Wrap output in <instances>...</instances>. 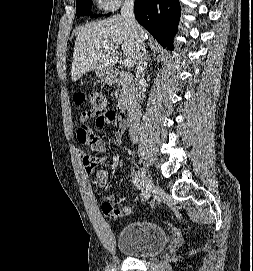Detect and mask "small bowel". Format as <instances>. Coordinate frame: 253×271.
Here are the masks:
<instances>
[{
    "instance_id": "c3829d8e",
    "label": "small bowel",
    "mask_w": 253,
    "mask_h": 271,
    "mask_svg": "<svg viewBox=\"0 0 253 271\" xmlns=\"http://www.w3.org/2000/svg\"><path fill=\"white\" fill-rule=\"evenodd\" d=\"M94 117V114L91 112H85L80 117V123L77 129V138L79 142L83 145L90 146L94 152L98 155L91 156L84 152H80V159L82 166L87 174H92L95 171V168L105 161L104 154L106 153L107 147L103 139H101L98 135L94 134L89 127V121ZM114 121H111L106 118L104 114L98 115L96 117V125L99 128H105L113 124ZM117 133L115 137V143L117 145L122 144V134L124 132V127L121 125L117 126ZM109 179V172L105 169L98 170L94 173L93 184L96 187H105L107 185ZM115 195L110 194L105 196L106 201H112ZM104 204H108V207L103 206V212L105 215L112 219H118L124 216H128L131 214L132 210L130 207H122L116 208L112 206L110 203L106 202ZM103 204V205H104Z\"/></svg>"
}]
</instances>
